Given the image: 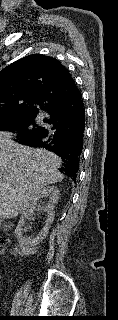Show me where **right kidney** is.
<instances>
[{"mask_svg":"<svg viewBox=\"0 0 118 320\" xmlns=\"http://www.w3.org/2000/svg\"><path fill=\"white\" fill-rule=\"evenodd\" d=\"M60 191L56 186H46L42 188L31 199L27 209L23 211L18 225L15 229V235L19 243V248L16 249L19 253L24 255L34 254L37 245L43 241L49 232L51 224L54 221V205L59 199ZM48 199L47 202H41L42 199ZM35 211L46 213V220L42 230L36 236L24 237L23 230L27 220H30Z\"/></svg>","mask_w":118,"mask_h":320,"instance_id":"1","label":"right kidney"}]
</instances>
